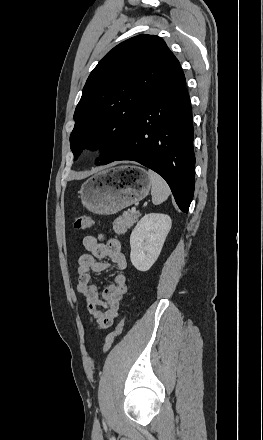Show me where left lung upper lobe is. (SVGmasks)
I'll list each match as a JSON object with an SVG mask.
<instances>
[{"label":"left lung upper lobe","instance_id":"1","mask_svg":"<svg viewBox=\"0 0 263 440\" xmlns=\"http://www.w3.org/2000/svg\"><path fill=\"white\" fill-rule=\"evenodd\" d=\"M174 57L154 35L132 37L107 53L89 75L74 113L75 159L84 148L99 149L105 165L125 150L140 110Z\"/></svg>","mask_w":263,"mask_h":440}]
</instances>
